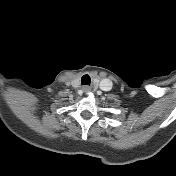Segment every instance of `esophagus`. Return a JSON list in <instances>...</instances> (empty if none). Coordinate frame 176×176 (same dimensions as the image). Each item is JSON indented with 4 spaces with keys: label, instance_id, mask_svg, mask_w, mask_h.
Segmentation results:
<instances>
[{
    "label": "esophagus",
    "instance_id": "1",
    "mask_svg": "<svg viewBox=\"0 0 176 176\" xmlns=\"http://www.w3.org/2000/svg\"><path fill=\"white\" fill-rule=\"evenodd\" d=\"M85 91H88L89 89L88 88H84Z\"/></svg>",
    "mask_w": 176,
    "mask_h": 176
}]
</instances>
